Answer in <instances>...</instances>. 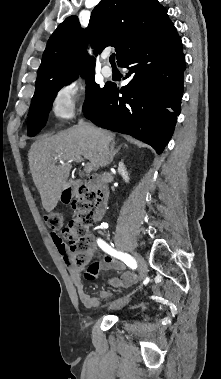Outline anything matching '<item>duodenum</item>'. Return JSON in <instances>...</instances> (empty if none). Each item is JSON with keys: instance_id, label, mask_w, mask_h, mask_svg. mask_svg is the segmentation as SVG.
I'll list each match as a JSON object with an SVG mask.
<instances>
[{"instance_id": "duodenum-1", "label": "duodenum", "mask_w": 221, "mask_h": 379, "mask_svg": "<svg viewBox=\"0 0 221 379\" xmlns=\"http://www.w3.org/2000/svg\"><path fill=\"white\" fill-rule=\"evenodd\" d=\"M84 190L96 193L95 219L100 220L106 212L108 190L102 178L96 175L90 176L83 181L75 180L64 191V197L69 201L76 200Z\"/></svg>"}]
</instances>
